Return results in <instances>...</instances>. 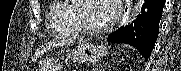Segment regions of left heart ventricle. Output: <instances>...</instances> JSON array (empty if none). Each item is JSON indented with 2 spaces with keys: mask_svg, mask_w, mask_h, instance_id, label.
<instances>
[{
  "mask_svg": "<svg viewBox=\"0 0 181 71\" xmlns=\"http://www.w3.org/2000/svg\"><path fill=\"white\" fill-rule=\"evenodd\" d=\"M106 7L107 1L103 0H90L82 2L80 15L84 24L91 28H100L106 25Z\"/></svg>",
  "mask_w": 181,
  "mask_h": 71,
  "instance_id": "left-heart-ventricle-1",
  "label": "left heart ventricle"
}]
</instances>
